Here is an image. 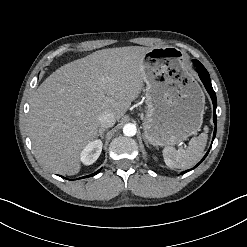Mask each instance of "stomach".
I'll list each match as a JSON object with an SVG mask.
<instances>
[{
    "mask_svg": "<svg viewBox=\"0 0 247 247\" xmlns=\"http://www.w3.org/2000/svg\"><path fill=\"white\" fill-rule=\"evenodd\" d=\"M143 67L145 140L172 146L196 134L203 123L205 96L187 72L181 52L171 46L152 48L144 56Z\"/></svg>",
    "mask_w": 247,
    "mask_h": 247,
    "instance_id": "0dacf381",
    "label": "stomach"
}]
</instances>
